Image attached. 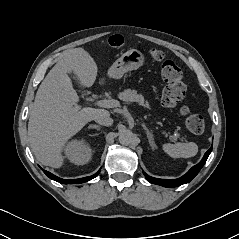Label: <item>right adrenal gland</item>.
<instances>
[{
	"mask_svg": "<svg viewBox=\"0 0 239 239\" xmlns=\"http://www.w3.org/2000/svg\"><path fill=\"white\" fill-rule=\"evenodd\" d=\"M89 129L92 128V129H96L97 131H99L101 129V126L99 125H89L88 127Z\"/></svg>",
	"mask_w": 239,
	"mask_h": 239,
	"instance_id": "1",
	"label": "right adrenal gland"
}]
</instances>
